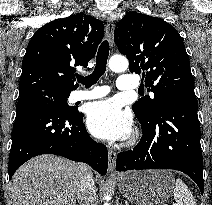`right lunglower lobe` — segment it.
I'll list each match as a JSON object with an SVG mask.
<instances>
[{
  "label": "right lung lower lobe",
  "mask_w": 212,
  "mask_h": 205,
  "mask_svg": "<svg viewBox=\"0 0 212 205\" xmlns=\"http://www.w3.org/2000/svg\"><path fill=\"white\" fill-rule=\"evenodd\" d=\"M83 116L78 111L75 114L66 113L46 101L19 98L9 155V178L23 163L41 154L86 162L105 175L107 148L90 138Z\"/></svg>",
  "instance_id": "right-lung-lower-lobe-1"
}]
</instances>
